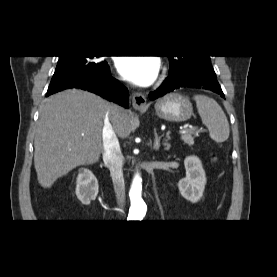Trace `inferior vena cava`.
Returning a JSON list of instances; mask_svg holds the SVG:
<instances>
[{
    "instance_id": "1",
    "label": "inferior vena cava",
    "mask_w": 277,
    "mask_h": 277,
    "mask_svg": "<svg viewBox=\"0 0 277 277\" xmlns=\"http://www.w3.org/2000/svg\"><path fill=\"white\" fill-rule=\"evenodd\" d=\"M117 109V108H116ZM103 161L110 169L114 191L119 209L123 210L125 206V184L123 178V155L120 149L118 138L111 124L110 112L104 119L103 126Z\"/></svg>"
}]
</instances>
